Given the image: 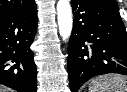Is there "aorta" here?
Listing matches in <instances>:
<instances>
[{
  "instance_id": "aorta-1",
  "label": "aorta",
  "mask_w": 127,
  "mask_h": 92,
  "mask_svg": "<svg viewBox=\"0 0 127 92\" xmlns=\"http://www.w3.org/2000/svg\"><path fill=\"white\" fill-rule=\"evenodd\" d=\"M57 21L60 36L66 41L71 36L73 28V16L69 0H58Z\"/></svg>"
}]
</instances>
